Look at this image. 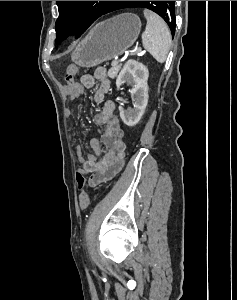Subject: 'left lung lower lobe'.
<instances>
[{"mask_svg":"<svg viewBox=\"0 0 237 300\" xmlns=\"http://www.w3.org/2000/svg\"><path fill=\"white\" fill-rule=\"evenodd\" d=\"M167 1H160V4L163 6ZM122 1H112L106 9V13L121 9ZM105 13V14H106ZM175 31H173L174 35Z\"/></svg>","mask_w":237,"mask_h":300,"instance_id":"left-lung-lower-lobe-1","label":"left lung lower lobe"}]
</instances>
